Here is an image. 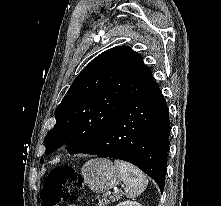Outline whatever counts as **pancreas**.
<instances>
[{
	"label": "pancreas",
	"mask_w": 221,
	"mask_h": 206,
	"mask_svg": "<svg viewBox=\"0 0 221 206\" xmlns=\"http://www.w3.org/2000/svg\"><path fill=\"white\" fill-rule=\"evenodd\" d=\"M117 199H118L117 196L112 198V197H107L106 194H103L102 198L98 199V205L97 206H106L108 203H110V201H115Z\"/></svg>",
	"instance_id": "obj_1"
}]
</instances>
